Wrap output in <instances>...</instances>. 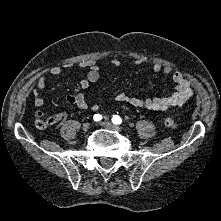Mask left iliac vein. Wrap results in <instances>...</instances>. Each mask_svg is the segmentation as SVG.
<instances>
[{
	"label": "left iliac vein",
	"mask_w": 221,
	"mask_h": 221,
	"mask_svg": "<svg viewBox=\"0 0 221 221\" xmlns=\"http://www.w3.org/2000/svg\"><path fill=\"white\" fill-rule=\"evenodd\" d=\"M100 125L108 130L117 131V132L122 131V129L118 125L113 124L111 122L104 121V122H101Z\"/></svg>",
	"instance_id": "left-iliac-vein-1"
}]
</instances>
